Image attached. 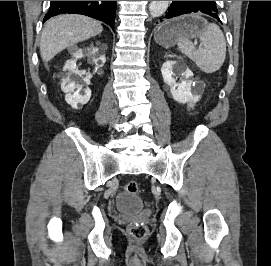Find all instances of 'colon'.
Wrapping results in <instances>:
<instances>
[{
  "label": "colon",
  "mask_w": 271,
  "mask_h": 266,
  "mask_svg": "<svg viewBox=\"0 0 271 266\" xmlns=\"http://www.w3.org/2000/svg\"><path fill=\"white\" fill-rule=\"evenodd\" d=\"M125 192L136 195L139 193V186L136 181H129L124 186ZM130 234L136 240H143L148 235V229L142 222L134 223L130 226Z\"/></svg>",
  "instance_id": "5ec220e1"
}]
</instances>
